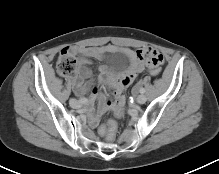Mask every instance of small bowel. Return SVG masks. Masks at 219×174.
I'll use <instances>...</instances> for the list:
<instances>
[{
	"label": "small bowel",
	"instance_id": "obj_1",
	"mask_svg": "<svg viewBox=\"0 0 219 174\" xmlns=\"http://www.w3.org/2000/svg\"><path fill=\"white\" fill-rule=\"evenodd\" d=\"M151 48H142L134 50L131 48H122L112 44L99 47H75L69 50V53L78 56L79 70L78 73L71 78V83L74 86L76 93L81 96L91 90V103L94 100L99 101V107L96 114L90 118L92 126H97L100 116L106 111L108 103L102 96L96 86L84 84L83 81L90 76L89 69L85 66L91 59L102 60L109 54L120 53L125 55L130 60V66L119 72H112L107 66L100 67V81L116 87L113 91V108L116 114L121 115L125 111V103L127 96L126 88L130 86L137 75L141 73L147 65L158 66L163 62V56L159 52H154ZM140 53L141 59H140ZM126 87V88H125Z\"/></svg>",
	"mask_w": 219,
	"mask_h": 174
}]
</instances>
